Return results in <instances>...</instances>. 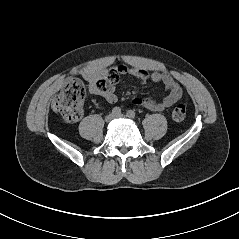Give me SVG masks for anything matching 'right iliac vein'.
<instances>
[{
    "instance_id": "right-iliac-vein-1",
    "label": "right iliac vein",
    "mask_w": 239,
    "mask_h": 239,
    "mask_svg": "<svg viewBox=\"0 0 239 239\" xmlns=\"http://www.w3.org/2000/svg\"><path fill=\"white\" fill-rule=\"evenodd\" d=\"M114 118H115V115L111 113V114H109V115H107V116L105 117V121H106L107 123H109V122H111Z\"/></svg>"
}]
</instances>
